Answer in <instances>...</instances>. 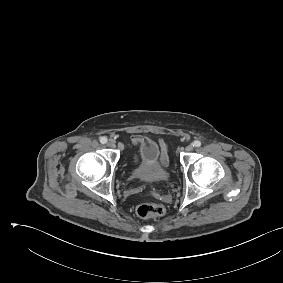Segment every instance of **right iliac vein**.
Returning <instances> with one entry per match:
<instances>
[{
  "mask_svg": "<svg viewBox=\"0 0 283 283\" xmlns=\"http://www.w3.org/2000/svg\"><path fill=\"white\" fill-rule=\"evenodd\" d=\"M107 146L110 148H115L116 144L113 140L108 141Z\"/></svg>",
  "mask_w": 283,
  "mask_h": 283,
  "instance_id": "obj_1",
  "label": "right iliac vein"
}]
</instances>
